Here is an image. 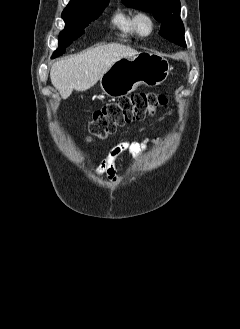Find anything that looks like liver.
<instances>
[{"label":"liver","instance_id":"6515ba94","mask_svg":"<svg viewBox=\"0 0 240 329\" xmlns=\"http://www.w3.org/2000/svg\"><path fill=\"white\" fill-rule=\"evenodd\" d=\"M138 54L135 49L111 43L89 49L77 56L55 62L50 71L53 86L67 99L73 90L86 91L119 59Z\"/></svg>","mask_w":240,"mask_h":329}]
</instances>
